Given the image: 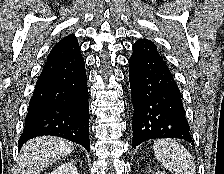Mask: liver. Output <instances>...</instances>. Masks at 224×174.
I'll list each match as a JSON object with an SVG mask.
<instances>
[{"label":"liver","instance_id":"1","mask_svg":"<svg viewBox=\"0 0 224 174\" xmlns=\"http://www.w3.org/2000/svg\"><path fill=\"white\" fill-rule=\"evenodd\" d=\"M74 150V144L54 136L30 139L21 148L16 174H39Z\"/></svg>","mask_w":224,"mask_h":174}]
</instances>
